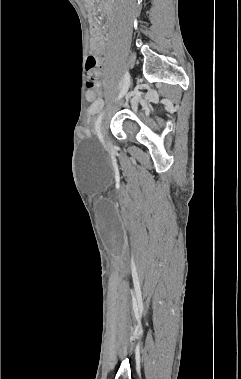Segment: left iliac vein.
I'll return each instance as SVG.
<instances>
[{
  "mask_svg": "<svg viewBox=\"0 0 241 379\" xmlns=\"http://www.w3.org/2000/svg\"><path fill=\"white\" fill-rule=\"evenodd\" d=\"M105 143H106V145L108 144V142H107V141H105Z\"/></svg>",
  "mask_w": 241,
  "mask_h": 379,
  "instance_id": "1",
  "label": "left iliac vein"
}]
</instances>
